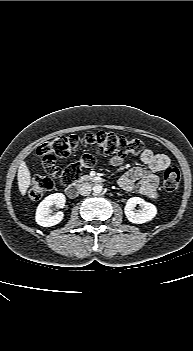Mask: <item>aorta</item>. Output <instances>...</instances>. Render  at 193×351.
Returning a JSON list of instances; mask_svg holds the SVG:
<instances>
[{
  "mask_svg": "<svg viewBox=\"0 0 193 351\" xmlns=\"http://www.w3.org/2000/svg\"><path fill=\"white\" fill-rule=\"evenodd\" d=\"M103 190V187L100 185V184H97L93 187V192L96 193V194H99L101 193Z\"/></svg>",
  "mask_w": 193,
  "mask_h": 351,
  "instance_id": "1",
  "label": "aorta"
}]
</instances>
